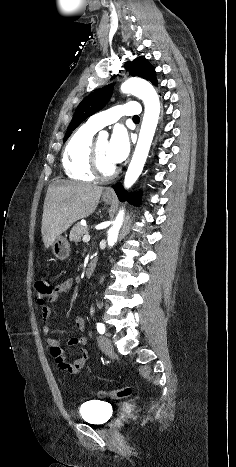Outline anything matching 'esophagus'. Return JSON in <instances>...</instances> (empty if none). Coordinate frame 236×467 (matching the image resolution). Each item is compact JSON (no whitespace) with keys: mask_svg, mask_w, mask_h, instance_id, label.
I'll use <instances>...</instances> for the list:
<instances>
[{"mask_svg":"<svg viewBox=\"0 0 236 467\" xmlns=\"http://www.w3.org/2000/svg\"><path fill=\"white\" fill-rule=\"evenodd\" d=\"M114 194H115V193H114V191H113L111 188H109V189H107V190L105 191V195L113 196Z\"/></svg>","mask_w":236,"mask_h":467,"instance_id":"1","label":"esophagus"}]
</instances>
